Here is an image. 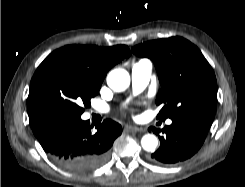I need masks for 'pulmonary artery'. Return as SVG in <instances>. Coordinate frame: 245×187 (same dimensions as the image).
I'll list each match as a JSON object with an SVG mask.
<instances>
[{
    "label": "pulmonary artery",
    "instance_id": "e3ab8cb5",
    "mask_svg": "<svg viewBox=\"0 0 245 187\" xmlns=\"http://www.w3.org/2000/svg\"><path fill=\"white\" fill-rule=\"evenodd\" d=\"M152 74V62L147 59L134 63L131 67V80L134 92L142 91L150 81ZM171 124V121H168Z\"/></svg>",
    "mask_w": 245,
    "mask_h": 187
}]
</instances>
